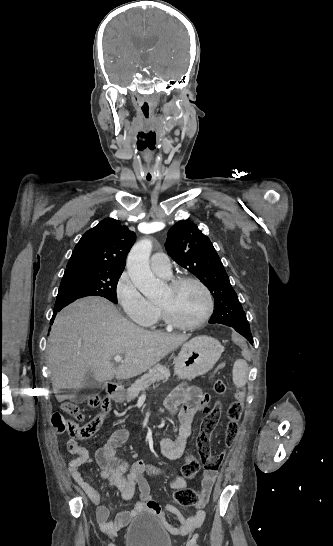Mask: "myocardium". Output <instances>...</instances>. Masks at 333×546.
Wrapping results in <instances>:
<instances>
[{
	"instance_id": "myocardium-1",
	"label": "myocardium",
	"mask_w": 333,
	"mask_h": 546,
	"mask_svg": "<svg viewBox=\"0 0 333 546\" xmlns=\"http://www.w3.org/2000/svg\"><path fill=\"white\" fill-rule=\"evenodd\" d=\"M192 283L197 285L204 293L206 299V306L201 317L192 323H182L171 316L168 310L162 305H158L159 311L163 318V321L171 328L183 331L195 330L204 325L211 317L214 310V298L209 287L199 278L193 276H179L169 283L171 289H176L179 286Z\"/></svg>"
}]
</instances>
